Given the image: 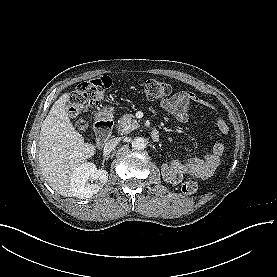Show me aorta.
<instances>
[{
    "instance_id": "1",
    "label": "aorta",
    "mask_w": 277,
    "mask_h": 277,
    "mask_svg": "<svg viewBox=\"0 0 277 277\" xmlns=\"http://www.w3.org/2000/svg\"><path fill=\"white\" fill-rule=\"evenodd\" d=\"M132 148L134 150H138V151H141V150H144L147 146V142L144 138L142 137H136L132 140Z\"/></svg>"
}]
</instances>
